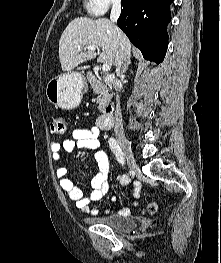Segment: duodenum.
Masks as SVG:
<instances>
[{
	"label": "duodenum",
	"mask_w": 221,
	"mask_h": 263,
	"mask_svg": "<svg viewBox=\"0 0 221 263\" xmlns=\"http://www.w3.org/2000/svg\"><path fill=\"white\" fill-rule=\"evenodd\" d=\"M107 80L109 82H115V78L113 76H108ZM113 125V106L111 104H108L101 117L98 121V126L102 130H108Z\"/></svg>",
	"instance_id": "obj_1"
}]
</instances>
